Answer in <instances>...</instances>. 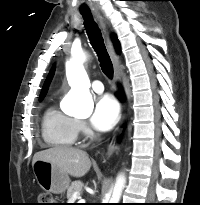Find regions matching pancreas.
<instances>
[{"label": "pancreas", "mask_w": 200, "mask_h": 205, "mask_svg": "<svg viewBox=\"0 0 200 205\" xmlns=\"http://www.w3.org/2000/svg\"><path fill=\"white\" fill-rule=\"evenodd\" d=\"M83 189V183L81 181L72 182L71 186L67 190V199L70 201L74 192H80Z\"/></svg>", "instance_id": "1"}]
</instances>
